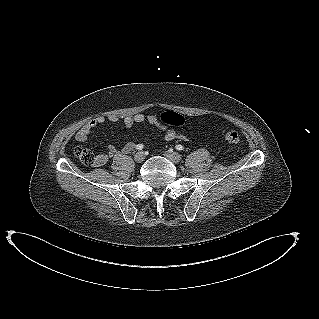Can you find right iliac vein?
Wrapping results in <instances>:
<instances>
[{
	"mask_svg": "<svg viewBox=\"0 0 319 319\" xmlns=\"http://www.w3.org/2000/svg\"><path fill=\"white\" fill-rule=\"evenodd\" d=\"M145 159V155L143 152H137L134 156V160L137 162V163H141L143 162Z\"/></svg>",
	"mask_w": 319,
	"mask_h": 319,
	"instance_id": "1",
	"label": "right iliac vein"
}]
</instances>
